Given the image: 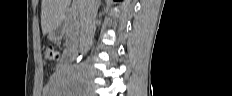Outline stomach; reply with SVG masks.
<instances>
[{"mask_svg": "<svg viewBox=\"0 0 232 96\" xmlns=\"http://www.w3.org/2000/svg\"><path fill=\"white\" fill-rule=\"evenodd\" d=\"M61 36H62V33L59 30H54L51 33H49L48 37L51 41H56V40L60 39Z\"/></svg>", "mask_w": 232, "mask_h": 96, "instance_id": "obj_1", "label": "stomach"}]
</instances>
